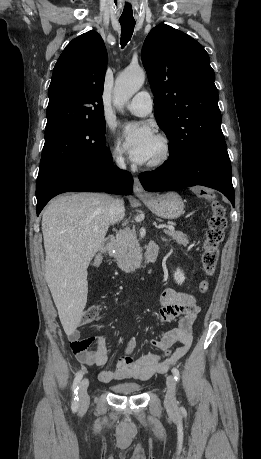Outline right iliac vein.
<instances>
[{"mask_svg": "<svg viewBox=\"0 0 261 459\" xmlns=\"http://www.w3.org/2000/svg\"><path fill=\"white\" fill-rule=\"evenodd\" d=\"M88 386L89 380L86 378L82 380L79 386V405L81 409L87 408L90 402V398L87 392Z\"/></svg>", "mask_w": 261, "mask_h": 459, "instance_id": "1", "label": "right iliac vein"}]
</instances>
